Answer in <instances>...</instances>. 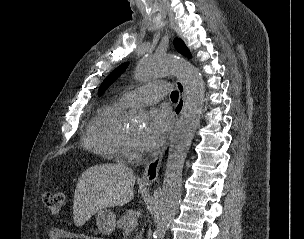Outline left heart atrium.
I'll use <instances>...</instances> for the list:
<instances>
[{
    "label": "left heart atrium",
    "mask_w": 304,
    "mask_h": 239,
    "mask_svg": "<svg viewBox=\"0 0 304 239\" xmlns=\"http://www.w3.org/2000/svg\"><path fill=\"white\" fill-rule=\"evenodd\" d=\"M171 126L172 117L168 110L165 108L155 110L147 128L137 138L139 149L144 152L156 150L166 138Z\"/></svg>",
    "instance_id": "left-heart-atrium-1"
}]
</instances>
